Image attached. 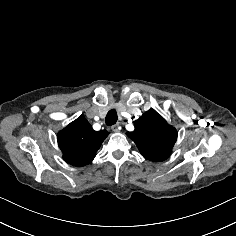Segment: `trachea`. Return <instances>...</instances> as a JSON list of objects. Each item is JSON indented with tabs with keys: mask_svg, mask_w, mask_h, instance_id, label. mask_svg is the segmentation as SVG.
Masks as SVG:
<instances>
[{
	"mask_svg": "<svg viewBox=\"0 0 236 236\" xmlns=\"http://www.w3.org/2000/svg\"><path fill=\"white\" fill-rule=\"evenodd\" d=\"M118 116L115 109H111L106 115V124L108 126L114 125L117 122Z\"/></svg>",
	"mask_w": 236,
	"mask_h": 236,
	"instance_id": "trachea-1",
	"label": "trachea"
}]
</instances>
